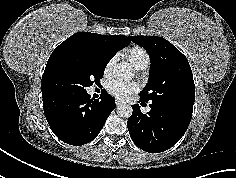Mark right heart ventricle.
I'll return each instance as SVG.
<instances>
[{
  "label": "right heart ventricle",
  "instance_id": "right-heart-ventricle-1",
  "mask_svg": "<svg viewBox=\"0 0 236 178\" xmlns=\"http://www.w3.org/2000/svg\"><path fill=\"white\" fill-rule=\"evenodd\" d=\"M125 57L136 69H145L150 64V57L148 52L140 47L133 46L125 52Z\"/></svg>",
  "mask_w": 236,
  "mask_h": 178
}]
</instances>
